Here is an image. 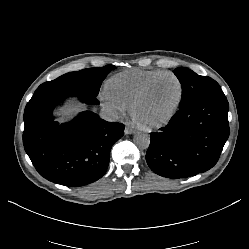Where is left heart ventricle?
<instances>
[{
  "label": "left heart ventricle",
  "mask_w": 249,
  "mask_h": 249,
  "mask_svg": "<svg viewBox=\"0 0 249 249\" xmlns=\"http://www.w3.org/2000/svg\"><path fill=\"white\" fill-rule=\"evenodd\" d=\"M179 98L178 82L170 76L158 80L138 104L134 116L141 123H152L169 115Z\"/></svg>",
  "instance_id": "obj_1"
}]
</instances>
